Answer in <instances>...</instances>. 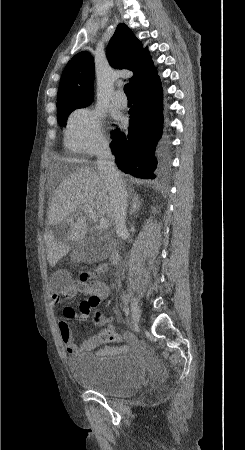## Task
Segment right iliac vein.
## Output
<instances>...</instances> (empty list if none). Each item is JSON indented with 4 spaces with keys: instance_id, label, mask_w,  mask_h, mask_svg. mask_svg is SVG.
I'll list each match as a JSON object with an SVG mask.
<instances>
[{
    "instance_id": "obj_1",
    "label": "right iliac vein",
    "mask_w": 245,
    "mask_h": 450,
    "mask_svg": "<svg viewBox=\"0 0 245 450\" xmlns=\"http://www.w3.org/2000/svg\"><path fill=\"white\" fill-rule=\"evenodd\" d=\"M131 315L133 321L138 323L140 320L141 310L139 304L135 300L131 302Z\"/></svg>"
}]
</instances>
